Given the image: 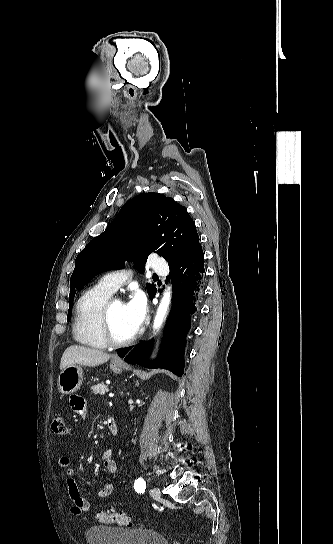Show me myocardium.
<instances>
[{
    "label": "myocardium",
    "instance_id": "f54148a6",
    "mask_svg": "<svg viewBox=\"0 0 333 544\" xmlns=\"http://www.w3.org/2000/svg\"><path fill=\"white\" fill-rule=\"evenodd\" d=\"M117 301H121L118 298H110L104 305L101 313V332L103 335V338L105 339L106 343L108 345L112 346H126L131 343H133L138 336V333L135 332L132 336L125 338V339H119L117 338L112 330L111 327V321H110V312L113 304Z\"/></svg>",
    "mask_w": 333,
    "mask_h": 544
}]
</instances>
